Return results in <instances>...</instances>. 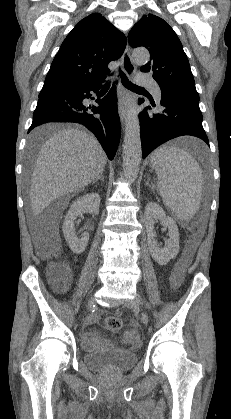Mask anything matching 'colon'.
<instances>
[{"instance_id":"5ec220e1","label":"colon","mask_w":231,"mask_h":419,"mask_svg":"<svg viewBox=\"0 0 231 419\" xmlns=\"http://www.w3.org/2000/svg\"><path fill=\"white\" fill-rule=\"evenodd\" d=\"M52 277L62 279L66 276L65 267L60 263H52L49 267ZM105 328L112 332H119L122 328V321L117 316H108L104 319Z\"/></svg>"}]
</instances>
